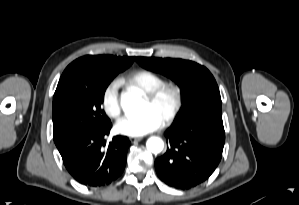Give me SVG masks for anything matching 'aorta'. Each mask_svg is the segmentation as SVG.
<instances>
[{"label":"aorta","instance_id":"762f6f07","mask_svg":"<svg viewBox=\"0 0 299 205\" xmlns=\"http://www.w3.org/2000/svg\"><path fill=\"white\" fill-rule=\"evenodd\" d=\"M142 99L137 92L128 91L121 96V107L127 114L136 115L140 111ZM147 149L154 153H160L164 148V142L159 137H150L146 142Z\"/></svg>","mask_w":299,"mask_h":205}]
</instances>
